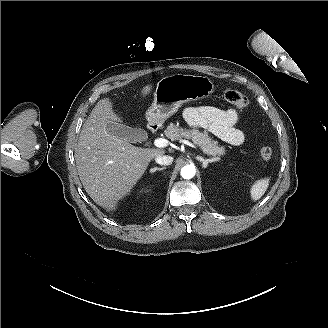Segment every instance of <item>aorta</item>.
Masks as SVG:
<instances>
[{
    "mask_svg": "<svg viewBox=\"0 0 328 328\" xmlns=\"http://www.w3.org/2000/svg\"><path fill=\"white\" fill-rule=\"evenodd\" d=\"M195 167L192 166V165H187V166H184L182 169H181V176L182 178L184 179H191L195 176Z\"/></svg>",
    "mask_w": 328,
    "mask_h": 328,
    "instance_id": "obj_1",
    "label": "aorta"
}]
</instances>
